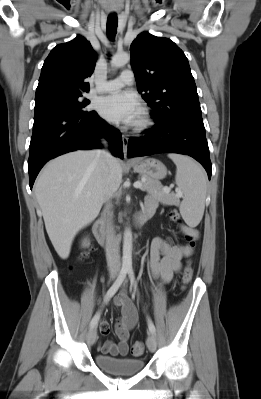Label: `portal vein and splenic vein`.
Here are the masks:
<instances>
[{
  "label": "portal vein and splenic vein",
  "mask_w": 261,
  "mask_h": 399,
  "mask_svg": "<svg viewBox=\"0 0 261 399\" xmlns=\"http://www.w3.org/2000/svg\"><path fill=\"white\" fill-rule=\"evenodd\" d=\"M143 181H145V180H143ZM134 187H135V188H142V182L136 181V182L134 183ZM164 190L167 191V192H169V191H170V188H166V189H164ZM177 196H182V192H181V191H178V192H177Z\"/></svg>",
  "instance_id": "portal-vein-and-splenic-vein-1"
}]
</instances>
